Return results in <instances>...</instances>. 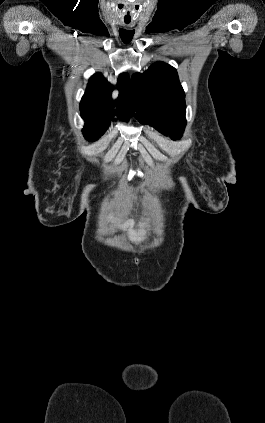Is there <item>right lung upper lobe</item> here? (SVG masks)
<instances>
[{
  "label": "right lung upper lobe",
  "instance_id": "1",
  "mask_svg": "<svg viewBox=\"0 0 265 423\" xmlns=\"http://www.w3.org/2000/svg\"><path fill=\"white\" fill-rule=\"evenodd\" d=\"M117 85L119 96L117 102L113 104L111 102L112 85L100 73L93 75L80 103L81 116L109 124L115 105L117 107L115 113L123 120H128L134 114V104L129 77L126 73L120 75Z\"/></svg>",
  "mask_w": 265,
  "mask_h": 423
}]
</instances>
